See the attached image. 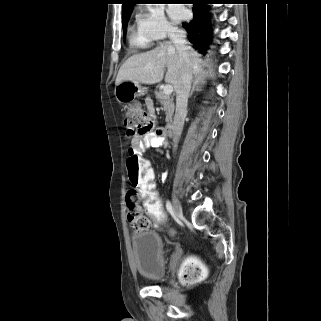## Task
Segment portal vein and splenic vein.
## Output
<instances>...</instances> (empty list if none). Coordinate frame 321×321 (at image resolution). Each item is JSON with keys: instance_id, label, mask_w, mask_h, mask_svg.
Instances as JSON below:
<instances>
[{"instance_id": "18ae733b", "label": "portal vein and splenic vein", "mask_w": 321, "mask_h": 321, "mask_svg": "<svg viewBox=\"0 0 321 321\" xmlns=\"http://www.w3.org/2000/svg\"><path fill=\"white\" fill-rule=\"evenodd\" d=\"M173 92V87L171 84H166L163 88V93L166 95H170Z\"/></svg>"}]
</instances>
